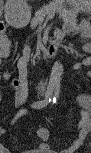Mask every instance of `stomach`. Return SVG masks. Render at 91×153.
<instances>
[{
	"mask_svg": "<svg viewBox=\"0 0 91 153\" xmlns=\"http://www.w3.org/2000/svg\"><path fill=\"white\" fill-rule=\"evenodd\" d=\"M70 2L77 9H82L83 7L90 5L89 0H71Z\"/></svg>",
	"mask_w": 91,
	"mask_h": 153,
	"instance_id": "obj_1",
	"label": "stomach"
}]
</instances>
